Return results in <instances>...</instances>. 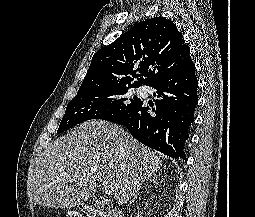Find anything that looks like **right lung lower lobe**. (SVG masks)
<instances>
[{
	"mask_svg": "<svg viewBox=\"0 0 255 217\" xmlns=\"http://www.w3.org/2000/svg\"><path fill=\"white\" fill-rule=\"evenodd\" d=\"M148 86L157 90L154 96L158 99L154 106L150 105L154 113L150 114V107L141 101L132 111L110 121L125 126L141 143L187 160L183 147L198 103V81L192 59Z\"/></svg>",
	"mask_w": 255,
	"mask_h": 217,
	"instance_id": "right-lung-lower-lobe-1",
	"label": "right lung lower lobe"
}]
</instances>
